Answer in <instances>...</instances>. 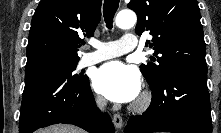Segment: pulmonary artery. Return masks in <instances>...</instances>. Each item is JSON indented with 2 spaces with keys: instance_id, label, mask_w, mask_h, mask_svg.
I'll return each mask as SVG.
<instances>
[{
  "instance_id": "obj_1",
  "label": "pulmonary artery",
  "mask_w": 221,
  "mask_h": 133,
  "mask_svg": "<svg viewBox=\"0 0 221 133\" xmlns=\"http://www.w3.org/2000/svg\"><path fill=\"white\" fill-rule=\"evenodd\" d=\"M94 51L85 53L81 60L80 66H89L101 61L121 56L125 53L133 51L138 46V41L134 34L127 33L121 41H91Z\"/></svg>"
}]
</instances>
